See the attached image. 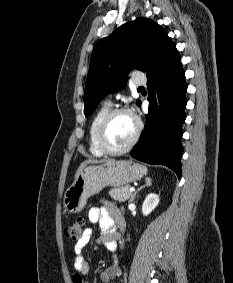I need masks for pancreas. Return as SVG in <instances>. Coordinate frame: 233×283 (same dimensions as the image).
<instances>
[{"label": "pancreas", "instance_id": "cf45deb5", "mask_svg": "<svg viewBox=\"0 0 233 283\" xmlns=\"http://www.w3.org/2000/svg\"><path fill=\"white\" fill-rule=\"evenodd\" d=\"M109 195L118 202H125L132 197V193L129 191V185L113 188L109 191Z\"/></svg>", "mask_w": 233, "mask_h": 283}]
</instances>
